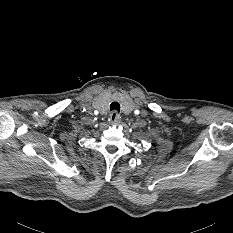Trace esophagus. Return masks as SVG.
<instances>
[{
  "label": "esophagus",
  "mask_w": 233,
  "mask_h": 233,
  "mask_svg": "<svg viewBox=\"0 0 233 233\" xmlns=\"http://www.w3.org/2000/svg\"><path fill=\"white\" fill-rule=\"evenodd\" d=\"M110 121L111 123L117 124L120 122V115L116 112L113 111L110 113Z\"/></svg>",
  "instance_id": "esophagus-1"
}]
</instances>
